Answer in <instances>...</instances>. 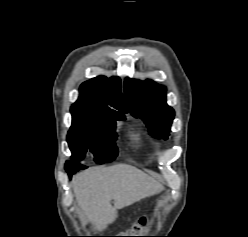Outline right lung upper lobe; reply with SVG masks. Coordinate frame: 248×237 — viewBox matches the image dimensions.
<instances>
[{
	"label": "right lung upper lobe",
	"mask_w": 248,
	"mask_h": 237,
	"mask_svg": "<svg viewBox=\"0 0 248 237\" xmlns=\"http://www.w3.org/2000/svg\"><path fill=\"white\" fill-rule=\"evenodd\" d=\"M120 86L118 77L99 76L86 81L80 86L79 99L71 109L99 117L124 116L127 107Z\"/></svg>",
	"instance_id": "cb5924a9"
}]
</instances>
